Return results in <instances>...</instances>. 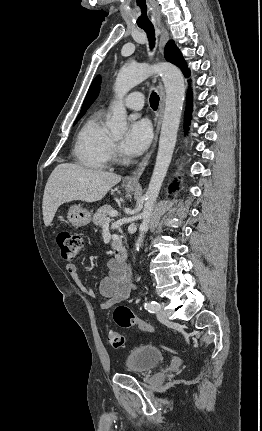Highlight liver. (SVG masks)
<instances>
[{
	"mask_svg": "<svg viewBox=\"0 0 262 431\" xmlns=\"http://www.w3.org/2000/svg\"><path fill=\"white\" fill-rule=\"evenodd\" d=\"M121 181L114 173L89 169L72 163L55 167L45 186L42 211L45 226L53 221L59 206L71 201L96 202Z\"/></svg>",
	"mask_w": 262,
	"mask_h": 431,
	"instance_id": "6515ba94",
	"label": "liver"
}]
</instances>
